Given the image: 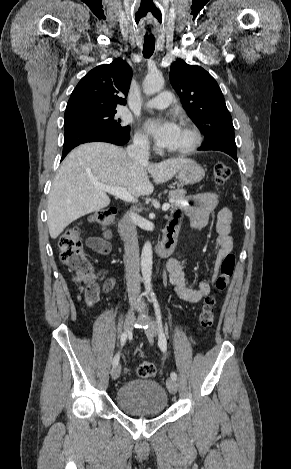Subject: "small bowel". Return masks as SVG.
<instances>
[{"label":"small bowel","mask_w":291,"mask_h":469,"mask_svg":"<svg viewBox=\"0 0 291 469\" xmlns=\"http://www.w3.org/2000/svg\"><path fill=\"white\" fill-rule=\"evenodd\" d=\"M217 207L216 195L211 192H204L188 198L180 209H176L168 223L178 231L184 219H187L190 227L195 231L202 230L209 221L213 211ZM232 223V213L230 209L223 208L217 215L216 241L212 257L214 258V269L212 281H214L222 260L232 252L233 239L230 235ZM91 247L100 253H106L109 249L108 243L102 238H93L90 241ZM167 270L170 281L175 288L179 298L189 303H197L210 292L211 282L209 279H202L195 288L188 286L185 276L184 266L181 256H177L167 262ZM209 269V266H207ZM87 285L99 286L92 280L87 281Z\"/></svg>","instance_id":"1"}]
</instances>
